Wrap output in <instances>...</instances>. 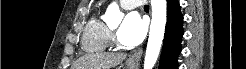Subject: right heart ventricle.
<instances>
[{"instance_id": "obj_1", "label": "right heart ventricle", "mask_w": 246, "mask_h": 69, "mask_svg": "<svg viewBox=\"0 0 246 69\" xmlns=\"http://www.w3.org/2000/svg\"><path fill=\"white\" fill-rule=\"evenodd\" d=\"M81 44L86 52H101L111 46V30L98 14H95L86 24Z\"/></svg>"}]
</instances>
